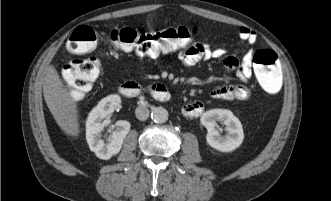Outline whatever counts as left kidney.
I'll return each mask as SVG.
<instances>
[{
    "instance_id": "5707ae66",
    "label": "left kidney",
    "mask_w": 331,
    "mask_h": 201,
    "mask_svg": "<svg viewBox=\"0 0 331 201\" xmlns=\"http://www.w3.org/2000/svg\"><path fill=\"white\" fill-rule=\"evenodd\" d=\"M201 124L206 127L207 143L221 152H231L238 148L244 139L243 128L240 120L227 109H211L201 116ZM217 121L226 125L227 135L221 136Z\"/></svg>"
}]
</instances>
